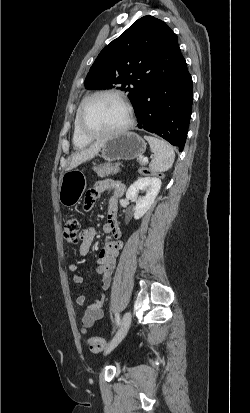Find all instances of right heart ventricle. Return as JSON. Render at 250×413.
<instances>
[{
  "instance_id": "right-heart-ventricle-1",
  "label": "right heart ventricle",
  "mask_w": 250,
  "mask_h": 413,
  "mask_svg": "<svg viewBox=\"0 0 250 413\" xmlns=\"http://www.w3.org/2000/svg\"><path fill=\"white\" fill-rule=\"evenodd\" d=\"M85 99L86 98H83L80 101V103H79V105L76 109L75 116H74V121H73L72 141H73L74 147L77 148V149L84 148L91 142V139H88V138H86L85 136H83L81 134V132L79 130V126H78L79 111H80V108H81L83 102L85 101Z\"/></svg>"
}]
</instances>
